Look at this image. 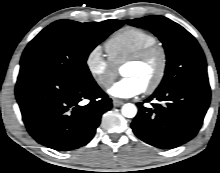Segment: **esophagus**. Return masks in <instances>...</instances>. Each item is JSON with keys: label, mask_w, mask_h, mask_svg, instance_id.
Wrapping results in <instances>:
<instances>
[{"label": "esophagus", "mask_w": 220, "mask_h": 173, "mask_svg": "<svg viewBox=\"0 0 220 173\" xmlns=\"http://www.w3.org/2000/svg\"><path fill=\"white\" fill-rule=\"evenodd\" d=\"M124 102L122 100H119V99H113V106L114 107H119L121 105H123Z\"/></svg>", "instance_id": "34e87169"}]
</instances>
